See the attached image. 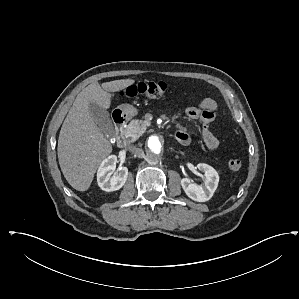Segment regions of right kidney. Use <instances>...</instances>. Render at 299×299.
Segmentation results:
<instances>
[{"mask_svg": "<svg viewBox=\"0 0 299 299\" xmlns=\"http://www.w3.org/2000/svg\"><path fill=\"white\" fill-rule=\"evenodd\" d=\"M117 163V157L110 155L100 164L97 171V182L99 187L106 192L116 191L122 188L128 177L127 167L121 168L117 176H112Z\"/></svg>", "mask_w": 299, "mask_h": 299, "instance_id": "right-kidney-1", "label": "right kidney"}]
</instances>
